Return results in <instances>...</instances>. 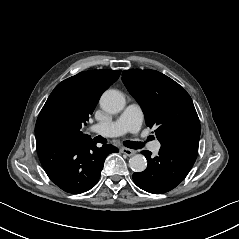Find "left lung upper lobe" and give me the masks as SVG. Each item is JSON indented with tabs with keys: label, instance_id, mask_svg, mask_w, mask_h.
<instances>
[{
	"label": "left lung upper lobe",
	"instance_id": "obj_1",
	"mask_svg": "<svg viewBox=\"0 0 239 239\" xmlns=\"http://www.w3.org/2000/svg\"><path fill=\"white\" fill-rule=\"evenodd\" d=\"M122 80L143 109L147 126L157 127L161 145L199 143L200 122L189 94L174 80L154 70L123 71Z\"/></svg>",
	"mask_w": 239,
	"mask_h": 239
}]
</instances>
